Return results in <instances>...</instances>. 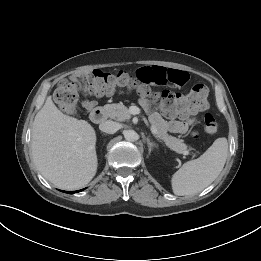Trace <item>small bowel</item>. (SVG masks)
I'll use <instances>...</instances> for the list:
<instances>
[{
	"instance_id": "obj_1",
	"label": "small bowel",
	"mask_w": 261,
	"mask_h": 261,
	"mask_svg": "<svg viewBox=\"0 0 261 261\" xmlns=\"http://www.w3.org/2000/svg\"><path fill=\"white\" fill-rule=\"evenodd\" d=\"M138 76L146 84L154 85H175L182 86L189 80V74L186 71L166 68L162 66H147L138 70ZM141 105L150 111L151 122L162 131L185 134L195 123V118L190 114L181 115L177 119H164L160 112L151 110L150 104L145 97L140 100ZM83 106L91 109L95 106L94 100H84Z\"/></svg>"
}]
</instances>
